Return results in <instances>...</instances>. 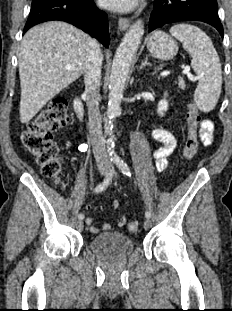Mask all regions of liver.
I'll use <instances>...</instances> for the list:
<instances>
[{"instance_id": "obj_1", "label": "liver", "mask_w": 232, "mask_h": 311, "mask_svg": "<svg viewBox=\"0 0 232 311\" xmlns=\"http://www.w3.org/2000/svg\"><path fill=\"white\" fill-rule=\"evenodd\" d=\"M88 39L83 31L60 21L35 26L24 35L19 51L21 123H28L48 101L81 76Z\"/></svg>"}]
</instances>
